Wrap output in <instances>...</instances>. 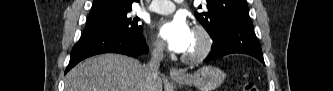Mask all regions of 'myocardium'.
<instances>
[{
    "mask_svg": "<svg viewBox=\"0 0 333 91\" xmlns=\"http://www.w3.org/2000/svg\"><path fill=\"white\" fill-rule=\"evenodd\" d=\"M193 33L200 39V45L196 51L182 55V60L187 63H195L205 59L213 46V39L205 27L197 25L193 28Z\"/></svg>",
    "mask_w": 333,
    "mask_h": 91,
    "instance_id": "f54148a6",
    "label": "myocardium"
}]
</instances>
